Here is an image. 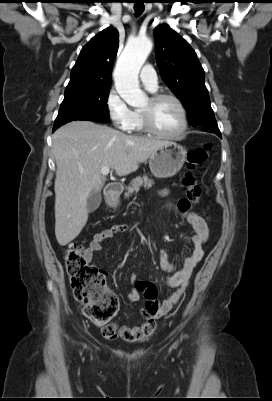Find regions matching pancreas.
Returning a JSON list of instances; mask_svg holds the SVG:
<instances>
[{"mask_svg": "<svg viewBox=\"0 0 272 401\" xmlns=\"http://www.w3.org/2000/svg\"><path fill=\"white\" fill-rule=\"evenodd\" d=\"M153 184L154 181L149 179L148 176H138L130 182L129 186L127 187V192H125L124 196L125 198H129L134 192H138L142 186L146 189H149L153 186Z\"/></svg>", "mask_w": 272, "mask_h": 401, "instance_id": "obj_1", "label": "pancreas"}]
</instances>
